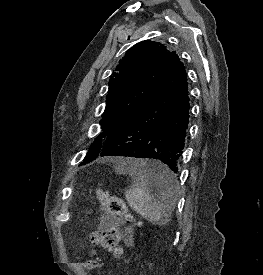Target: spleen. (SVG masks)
Returning a JSON list of instances; mask_svg holds the SVG:
<instances>
[{
  "mask_svg": "<svg viewBox=\"0 0 263 275\" xmlns=\"http://www.w3.org/2000/svg\"><path fill=\"white\" fill-rule=\"evenodd\" d=\"M118 167L120 173L129 174L132 178V185L125 193L130 207L148 222L159 226L166 225L170 220L169 211L175 203L178 187L175 175L161 163L142 159H123ZM146 169L163 171L172 176L170 187L163 190L157 197L151 195L148 190V177L144 172Z\"/></svg>",
  "mask_w": 263,
  "mask_h": 275,
  "instance_id": "3e777b00",
  "label": "spleen"
}]
</instances>
